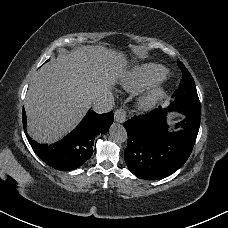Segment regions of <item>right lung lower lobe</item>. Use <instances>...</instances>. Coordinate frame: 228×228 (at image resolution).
Returning a JSON list of instances; mask_svg holds the SVG:
<instances>
[{
	"label": "right lung lower lobe",
	"mask_w": 228,
	"mask_h": 228,
	"mask_svg": "<svg viewBox=\"0 0 228 228\" xmlns=\"http://www.w3.org/2000/svg\"><path fill=\"white\" fill-rule=\"evenodd\" d=\"M23 122L26 123L24 111ZM112 122L113 112L97 114L89 110L72 132L54 144H38L26 136L35 153L50 167L63 171L73 170L91 157L95 136L105 133Z\"/></svg>",
	"instance_id": "obj_1"
}]
</instances>
